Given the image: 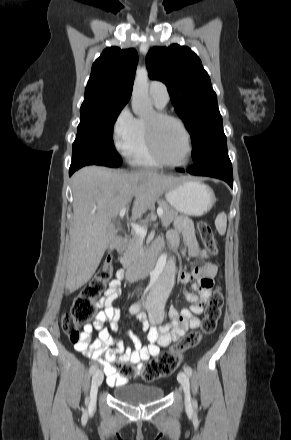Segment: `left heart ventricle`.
<instances>
[{
    "instance_id": "obj_1",
    "label": "left heart ventricle",
    "mask_w": 291,
    "mask_h": 440,
    "mask_svg": "<svg viewBox=\"0 0 291 440\" xmlns=\"http://www.w3.org/2000/svg\"><path fill=\"white\" fill-rule=\"evenodd\" d=\"M153 114L145 120L152 121ZM156 143L164 159L169 162H182L187 154L186 137L182 129L173 121L166 120L156 126Z\"/></svg>"
}]
</instances>
